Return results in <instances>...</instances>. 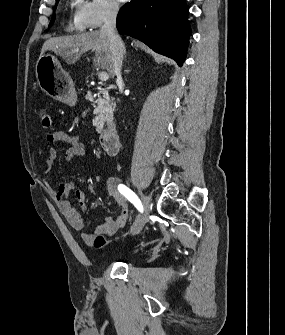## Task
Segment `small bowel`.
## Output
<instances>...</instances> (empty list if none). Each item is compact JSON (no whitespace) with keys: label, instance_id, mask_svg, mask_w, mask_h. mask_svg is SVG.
Wrapping results in <instances>:
<instances>
[{"label":"small bowel","instance_id":"small-bowel-1","mask_svg":"<svg viewBox=\"0 0 285 335\" xmlns=\"http://www.w3.org/2000/svg\"><path fill=\"white\" fill-rule=\"evenodd\" d=\"M47 140L50 143H62L67 146L64 158L66 161H71L76 157H83L87 153V147L80 142L75 135L68 131H56L47 135ZM56 150L50 147L47 151L46 159L44 161V170H48L53 166L56 159ZM44 187L56 207L67 220V222L75 229L82 230L84 228V219L80 212H78L67 199L71 193H75L81 210H86V193L78 190L73 182H64L56 190L48 181H44ZM107 198L112 199L120 209V214L116 217H105L102 222L92 232H83L82 239L86 244H91L94 238L98 235L112 236L120 228L125 226L129 216L130 208L127 200L119 193L115 181L112 177L107 179Z\"/></svg>","mask_w":285,"mask_h":335}]
</instances>
